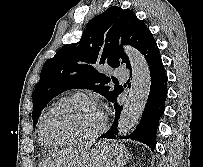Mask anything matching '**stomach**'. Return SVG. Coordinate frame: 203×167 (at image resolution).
Here are the masks:
<instances>
[{
  "label": "stomach",
  "mask_w": 203,
  "mask_h": 167,
  "mask_svg": "<svg viewBox=\"0 0 203 167\" xmlns=\"http://www.w3.org/2000/svg\"><path fill=\"white\" fill-rule=\"evenodd\" d=\"M127 157V153L123 149H113L112 146L101 143L87 153L79 167H120V160H127Z\"/></svg>",
  "instance_id": "obj_1"
}]
</instances>
